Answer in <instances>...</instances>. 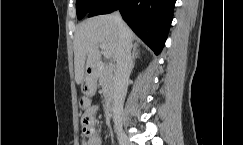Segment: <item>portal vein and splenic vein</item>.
Returning <instances> with one entry per match:
<instances>
[{
	"instance_id": "18ae733b",
	"label": "portal vein and splenic vein",
	"mask_w": 243,
	"mask_h": 145,
	"mask_svg": "<svg viewBox=\"0 0 243 145\" xmlns=\"http://www.w3.org/2000/svg\"><path fill=\"white\" fill-rule=\"evenodd\" d=\"M99 47L103 50V54H104V56H105L107 59H109V58L111 57V53H110V51H108V49L106 48L105 44L100 43V44H99Z\"/></svg>"
}]
</instances>
